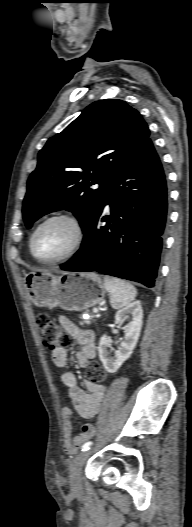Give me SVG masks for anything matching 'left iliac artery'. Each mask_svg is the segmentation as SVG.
<instances>
[{"label":"left iliac artery","instance_id":"obj_1","mask_svg":"<svg viewBox=\"0 0 192 527\" xmlns=\"http://www.w3.org/2000/svg\"><path fill=\"white\" fill-rule=\"evenodd\" d=\"M92 444H93L92 441H89V442L85 443V444L82 446L81 450H82L83 452L89 450V449H90V446H91Z\"/></svg>","mask_w":192,"mask_h":527}]
</instances>
